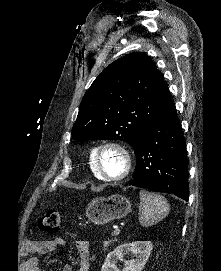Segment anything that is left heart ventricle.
Here are the masks:
<instances>
[{
  "label": "left heart ventricle",
  "mask_w": 221,
  "mask_h": 271,
  "mask_svg": "<svg viewBox=\"0 0 221 271\" xmlns=\"http://www.w3.org/2000/svg\"><path fill=\"white\" fill-rule=\"evenodd\" d=\"M105 150H109L110 153H104L101 163L103 172L106 173L105 177H121L122 169L125 166H118V156H121V152H116V147H105Z\"/></svg>",
  "instance_id": "1"
}]
</instances>
